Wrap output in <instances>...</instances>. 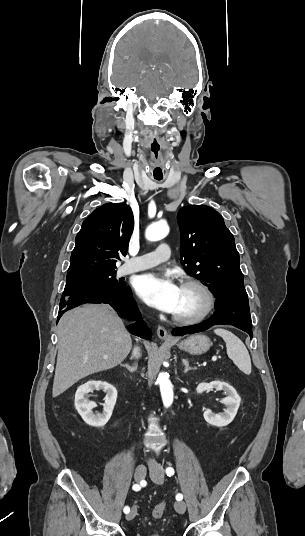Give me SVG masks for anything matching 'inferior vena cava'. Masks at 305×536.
<instances>
[{
	"label": "inferior vena cava",
	"mask_w": 305,
	"mask_h": 536,
	"mask_svg": "<svg viewBox=\"0 0 305 536\" xmlns=\"http://www.w3.org/2000/svg\"><path fill=\"white\" fill-rule=\"evenodd\" d=\"M133 354H134L135 358H139V356H140V350H139V348H134V350H133Z\"/></svg>",
	"instance_id": "1"
}]
</instances>
